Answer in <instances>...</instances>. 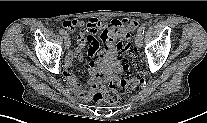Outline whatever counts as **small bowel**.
<instances>
[{"instance_id":"c3829d8e","label":"small bowel","mask_w":207,"mask_h":123,"mask_svg":"<svg viewBox=\"0 0 207 123\" xmlns=\"http://www.w3.org/2000/svg\"><path fill=\"white\" fill-rule=\"evenodd\" d=\"M137 25L135 20L130 19H112L106 22L97 18L90 19L86 24L79 20H67L62 23V27L68 31L84 26L78 35L76 47L65 58L66 81L78 98L89 102L107 71L120 69L115 42L126 32L133 31ZM99 40L102 43V49H100ZM86 42L89 43V54L96 57L88 71V89L83 88L72 72L73 61L75 58L82 59L81 52Z\"/></svg>"}]
</instances>
